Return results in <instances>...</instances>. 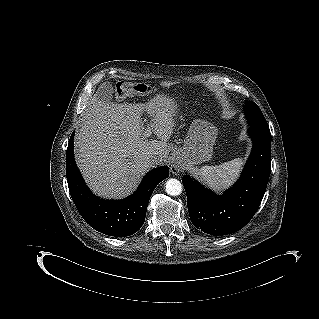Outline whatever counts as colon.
<instances>
[{"label": "colon", "mask_w": 319, "mask_h": 319, "mask_svg": "<svg viewBox=\"0 0 319 319\" xmlns=\"http://www.w3.org/2000/svg\"><path fill=\"white\" fill-rule=\"evenodd\" d=\"M150 85L141 82H120L116 85V94L119 98L131 95H147L151 93Z\"/></svg>", "instance_id": "5ec220e1"}]
</instances>
